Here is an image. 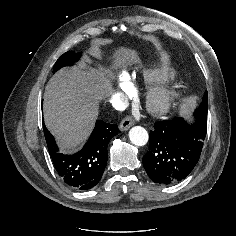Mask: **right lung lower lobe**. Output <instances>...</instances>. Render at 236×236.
<instances>
[{
  "label": "right lung lower lobe",
  "instance_id": "98d812e1",
  "mask_svg": "<svg viewBox=\"0 0 236 236\" xmlns=\"http://www.w3.org/2000/svg\"><path fill=\"white\" fill-rule=\"evenodd\" d=\"M117 134V125L97 120L84 147L73 155H65L59 152L55 139L44 126L48 151L58 175L78 190H88L100 181L108 160V143Z\"/></svg>",
  "mask_w": 236,
  "mask_h": 236
}]
</instances>
